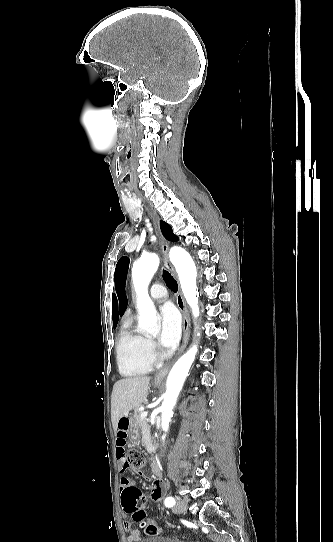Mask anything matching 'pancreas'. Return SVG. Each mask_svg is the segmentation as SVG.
Instances as JSON below:
<instances>
[{
  "label": "pancreas",
  "mask_w": 333,
  "mask_h": 542,
  "mask_svg": "<svg viewBox=\"0 0 333 542\" xmlns=\"http://www.w3.org/2000/svg\"><path fill=\"white\" fill-rule=\"evenodd\" d=\"M141 414L142 412H139V408H135L132 418L141 432H149L150 426H148V422H146V420H142Z\"/></svg>",
  "instance_id": "pancreas-1"
}]
</instances>
